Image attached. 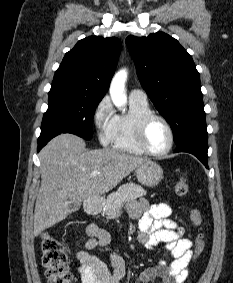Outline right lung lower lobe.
I'll use <instances>...</instances> for the list:
<instances>
[{
    "mask_svg": "<svg viewBox=\"0 0 233 283\" xmlns=\"http://www.w3.org/2000/svg\"><path fill=\"white\" fill-rule=\"evenodd\" d=\"M56 135H59V134H53V135H50L48 137H43V138L39 137L38 138V149H37V151L39 152L42 149V147H44L47 144V142L50 141Z\"/></svg>",
    "mask_w": 233,
    "mask_h": 283,
    "instance_id": "1",
    "label": "right lung lower lobe"
}]
</instances>
